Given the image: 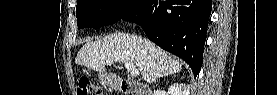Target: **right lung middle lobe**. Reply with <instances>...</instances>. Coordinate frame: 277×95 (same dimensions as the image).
<instances>
[{"label":"right lung middle lobe","instance_id":"dd1d6c3e","mask_svg":"<svg viewBox=\"0 0 277 95\" xmlns=\"http://www.w3.org/2000/svg\"><path fill=\"white\" fill-rule=\"evenodd\" d=\"M140 0H79L76 7L78 29L99 28L125 17Z\"/></svg>","mask_w":277,"mask_h":95}]
</instances>
